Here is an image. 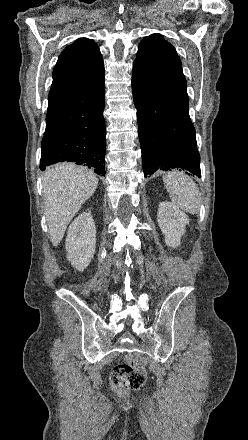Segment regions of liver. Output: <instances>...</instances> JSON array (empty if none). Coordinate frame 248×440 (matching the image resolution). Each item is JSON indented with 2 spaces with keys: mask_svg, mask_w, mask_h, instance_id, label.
<instances>
[{
  "mask_svg": "<svg viewBox=\"0 0 248 440\" xmlns=\"http://www.w3.org/2000/svg\"><path fill=\"white\" fill-rule=\"evenodd\" d=\"M97 186V176L74 163L56 164L46 169L43 174L44 212L54 246L59 245L68 224Z\"/></svg>",
  "mask_w": 248,
  "mask_h": 440,
  "instance_id": "6515ba94",
  "label": "liver"
}]
</instances>
